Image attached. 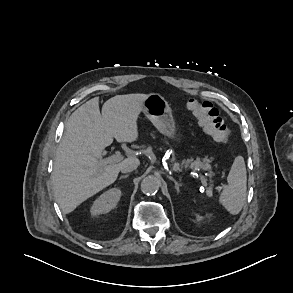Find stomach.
<instances>
[{"label":"stomach","mask_w":293,"mask_h":293,"mask_svg":"<svg viewBox=\"0 0 293 293\" xmlns=\"http://www.w3.org/2000/svg\"><path fill=\"white\" fill-rule=\"evenodd\" d=\"M143 112L161 134L173 141L178 140L172 110L164 97L157 93L147 95Z\"/></svg>","instance_id":"obj_1"}]
</instances>
